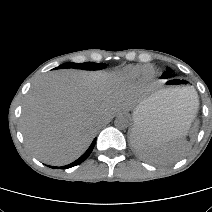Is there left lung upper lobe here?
Returning a JSON list of instances; mask_svg holds the SVG:
<instances>
[{"label": "left lung upper lobe", "instance_id": "left-lung-upper-lobe-1", "mask_svg": "<svg viewBox=\"0 0 212 212\" xmlns=\"http://www.w3.org/2000/svg\"><path fill=\"white\" fill-rule=\"evenodd\" d=\"M170 77H172L171 69L167 68V71L164 72V74L162 75V78H170Z\"/></svg>", "mask_w": 212, "mask_h": 212}]
</instances>
